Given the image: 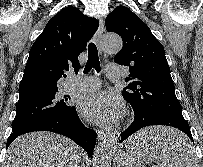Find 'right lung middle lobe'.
I'll list each match as a JSON object with an SVG mask.
<instances>
[{
    "label": "right lung middle lobe",
    "mask_w": 203,
    "mask_h": 167,
    "mask_svg": "<svg viewBox=\"0 0 203 167\" xmlns=\"http://www.w3.org/2000/svg\"><path fill=\"white\" fill-rule=\"evenodd\" d=\"M57 92L54 91L18 103L16 105V116L13 120L12 131L36 121L59 116L73 110L74 106L68 103V98H60Z\"/></svg>",
    "instance_id": "obj_1"
}]
</instances>
